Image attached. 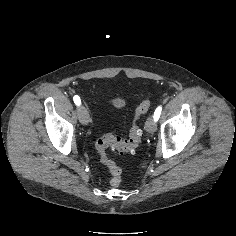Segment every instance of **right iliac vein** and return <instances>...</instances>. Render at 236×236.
Masks as SVG:
<instances>
[{"mask_svg": "<svg viewBox=\"0 0 236 236\" xmlns=\"http://www.w3.org/2000/svg\"><path fill=\"white\" fill-rule=\"evenodd\" d=\"M78 117L83 125H87L90 122L89 113L84 106H80L78 109Z\"/></svg>", "mask_w": 236, "mask_h": 236, "instance_id": "obj_1", "label": "right iliac vein"}]
</instances>
